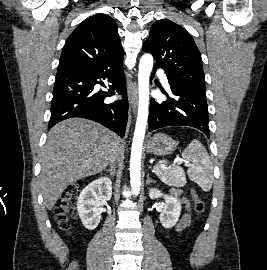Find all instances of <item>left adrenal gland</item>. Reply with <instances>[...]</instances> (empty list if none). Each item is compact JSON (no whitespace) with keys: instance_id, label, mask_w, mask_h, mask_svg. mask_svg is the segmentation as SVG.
Wrapping results in <instances>:
<instances>
[{"instance_id":"obj_1","label":"left adrenal gland","mask_w":267,"mask_h":270,"mask_svg":"<svg viewBox=\"0 0 267 270\" xmlns=\"http://www.w3.org/2000/svg\"><path fill=\"white\" fill-rule=\"evenodd\" d=\"M153 180L149 177V173L147 174V180H146V184L152 183Z\"/></svg>"}]
</instances>
